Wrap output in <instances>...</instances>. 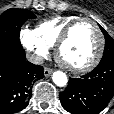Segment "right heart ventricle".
<instances>
[{
	"mask_svg": "<svg viewBox=\"0 0 114 114\" xmlns=\"http://www.w3.org/2000/svg\"><path fill=\"white\" fill-rule=\"evenodd\" d=\"M77 18L79 17L73 15L56 16L40 22L33 32L40 42L51 48L56 45L64 29Z\"/></svg>",
	"mask_w": 114,
	"mask_h": 114,
	"instance_id": "1",
	"label": "right heart ventricle"
}]
</instances>
